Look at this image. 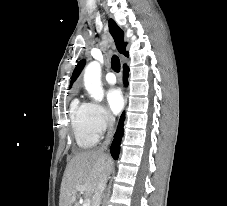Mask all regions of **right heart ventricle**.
Listing matches in <instances>:
<instances>
[{"label":"right heart ventricle","mask_w":227,"mask_h":206,"mask_svg":"<svg viewBox=\"0 0 227 206\" xmlns=\"http://www.w3.org/2000/svg\"><path fill=\"white\" fill-rule=\"evenodd\" d=\"M70 119L78 146L82 149L95 146L98 141V134L90 125L87 104L74 99L70 105Z\"/></svg>","instance_id":"obj_1"}]
</instances>
